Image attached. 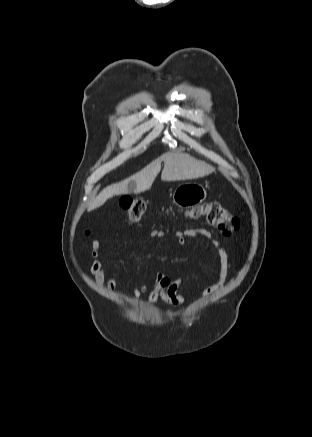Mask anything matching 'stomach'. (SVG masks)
Masks as SVG:
<instances>
[{
    "instance_id": "1",
    "label": "stomach",
    "mask_w": 312,
    "mask_h": 437,
    "mask_svg": "<svg viewBox=\"0 0 312 437\" xmlns=\"http://www.w3.org/2000/svg\"><path fill=\"white\" fill-rule=\"evenodd\" d=\"M206 196L207 192L202 184L186 182L176 187L172 199L180 208H191L202 203Z\"/></svg>"
}]
</instances>
